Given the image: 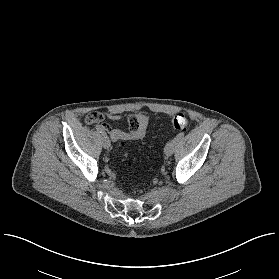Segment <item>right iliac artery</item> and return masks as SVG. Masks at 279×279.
Listing matches in <instances>:
<instances>
[{
  "mask_svg": "<svg viewBox=\"0 0 279 279\" xmlns=\"http://www.w3.org/2000/svg\"><path fill=\"white\" fill-rule=\"evenodd\" d=\"M96 130L99 131L103 136L106 135V133L102 130V128L100 127V125H96Z\"/></svg>",
  "mask_w": 279,
  "mask_h": 279,
  "instance_id": "1",
  "label": "right iliac artery"
}]
</instances>
